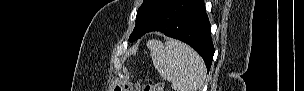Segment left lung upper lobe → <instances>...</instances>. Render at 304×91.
Wrapping results in <instances>:
<instances>
[{"label":"left lung upper lobe","mask_w":304,"mask_h":91,"mask_svg":"<svg viewBox=\"0 0 304 91\" xmlns=\"http://www.w3.org/2000/svg\"><path fill=\"white\" fill-rule=\"evenodd\" d=\"M172 0H144L137 11L136 25L129 37L133 42L150 29L165 11Z\"/></svg>","instance_id":"left-lung-upper-lobe-1"}]
</instances>
